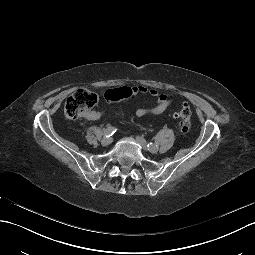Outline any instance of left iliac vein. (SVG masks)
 Returning <instances> with one entry per match:
<instances>
[{
	"label": "left iliac vein",
	"instance_id": "obj_1",
	"mask_svg": "<svg viewBox=\"0 0 255 255\" xmlns=\"http://www.w3.org/2000/svg\"><path fill=\"white\" fill-rule=\"evenodd\" d=\"M136 140L137 142L141 145V147L144 149V150H149L151 153H157L158 152V146H155L153 148H148L147 146V142L145 141V139L141 136H137L136 137Z\"/></svg>",
	"mask_w": 255,
	"mask_h": 255
}]
</instances>
